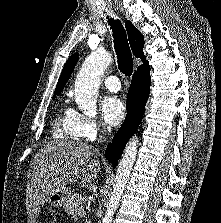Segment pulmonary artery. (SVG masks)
I'll return each mask as SVG.
<instances>
[{
  "label": "pulmonary artery",
  "instance_id": "e3ab8cb5",
  "mask_svg": "<svg viewBox=\"0 0 221 223\" xmlns=\"http://www.w3.org/2000/svg\"><path fill=\"white\" fill-rule=\"evenodd\" d=\"M103 84L108 90L113 92L119 91L121 87L119 78L115 75L106 76L103 79Z\"/></svg>",
  "mask_w": 221,
  "mask_h": 223
}]
</instances>
